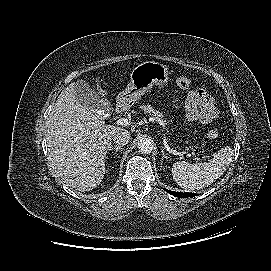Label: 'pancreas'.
Masks as SVG:
<instances>
[{
  "instance_id": "cf45deb5",
  "label": "pancreas",
  "mask_w": 271,
  "mask_h": 271,
  "mask_svg": "<svg viewBox=\"0 0 271 271\" xmlns=\"http://www.w3.org/2000/svg\"><path fill=\"white\" fill-rule=\"evenodd\" d=\"M145 113L150 114L151 116H153L155 118V120L157 122H162L161 118H162V113L159 112L158 110H155L152 106L148 105H143L140 107Z\"/></svg>"
}]
</instances>
